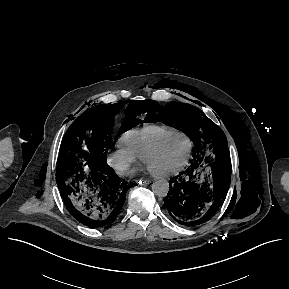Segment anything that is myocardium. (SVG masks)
Instances as JSON below:
<instances>
[{
    "mask_svg": "<svg viewBox=\"0 0 289 289\" xmlns=\"http://www.w3.org/2000/svg\"><path fill=\"white\" fill-rule=\"evenodd\" d=\"M175 136H182L188 142V152H187V156H186L185 160L183 161V163L180 166H178L177 168L170 170V171L157 173V172H153V171L149 170L150 173L152 174V176H154L156 178L174 176V175H177L180 172H182L187 167V165L191 159V156H192L193 144H192V141L189 138V136L187 134H185L184 132L179 131V130H176V131L166 135L165 137H163L159 141H157L154 145H152L148 150H146L144 152V154L141 156V160L144 164H146V160L148 159V157H150L155 152H157L166 141H168L169 139H171L172 137H175Z\"/></svg>",
    "mask_w": 289,
    "mask_h": 289,
    "instance_id": "myocardium-1",
    "label": "myocardium"
}]
</instances>
